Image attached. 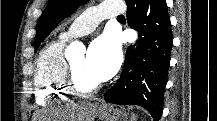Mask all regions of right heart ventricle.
Masks as SVG:
<instances>
[{
    "instance_id": "obj_1",
    "label": "right heart ventricle",
    "mask_w": 217,
    "mask_h": 121,
    "mask_svg": "<svg viewBox=\"0 0 217 121\" xmlns=\"http://www.w3.org/2000/svg\"><path fill=\"white\" fill-rule=\"evenodd\" d=\"M65 39L48 43L40 52L35 66L36 100L40 105L60 103L68 92L64 85L66 60L63 54Z\"/></svg>"
}]
</instances>
